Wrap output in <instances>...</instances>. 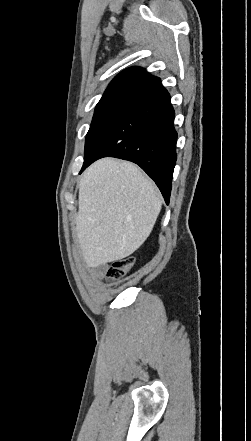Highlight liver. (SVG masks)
Wrapping results in <instances>:
<instances>
[{
	"instance_id": "1",
	"label": "liver",
	"mask_w": 251,
	"mask_h": 441,
	"mask_svg": "<svg viewBox=\"0 0 251 441\" xmlns=\"http://www.w3.org/2000/svg\"><path fill=\"white\" fill-rule=\"evenodd\" d=\"M162 206L153 182L135 164L93 163L79 182L76 231L86 264L97 267L134 253L150 235Z\"/></svg>"
}]
</instances>
